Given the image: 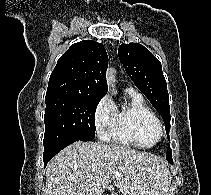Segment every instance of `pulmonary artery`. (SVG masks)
<instances>
[{
  "label": "pulmonary artery",
  "mask_w": 211,
  "mask_h": 195,
  "mask_svg": "<svg viewBox=\"0 0 211 195\" xmlns=\"http://www.w3.org/2000/svg\"><path fill=\"white\" fill-rule=\"evenodd\" d=\"M126 91L127 92H134L133 89H131V88H127Z\"/></svg>",
  "instance_id": "pulmonary-artery-1"
}]
</instances>
